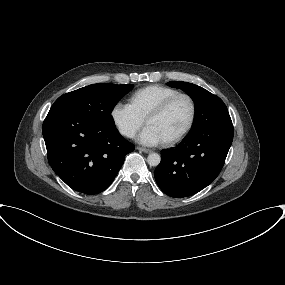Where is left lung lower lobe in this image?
I'll return each instance as SVG.
<instances>
[{
	"label": "left lung lower lobe",
	"instance_id": "0a47b994",
	"mask_svg": "<svg viewBox=\"0 0 285 285\" xmlns=\"http://www.w3.org/2000/svg\"><path fill=\"white\" fill-rule=\"evenodd\" d=\"M233 141V126L189 132L175 148L161 153L154 176L160 189L175 198L191 196L220 173Z\"/></svg>",
	"mask_w": 285,
	"mask_h": 285
}]
</instances>
